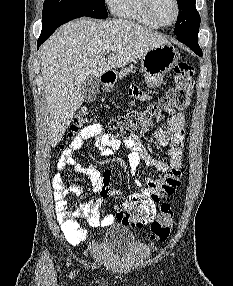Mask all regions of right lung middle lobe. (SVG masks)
Listing matches in <instances>:
<instances>
[{
  "mask_svg": "<svg viewBox=\"0 0 233 286\" xmlns=\"http://www.w3.org/2000/svg\"><path fill=\"white\" fill-rule=\"evenodd\" d=\"M64 12L74 13L81 17L100 19L108 17L104 0H45L42 13L43 22Z\"/></svg>",
  "mask_w": 233,
  "mask_h": 286,
  "instance_id": "dd1d6c3e",
  "label": "right lung middle lobe"
}]
</instances>
